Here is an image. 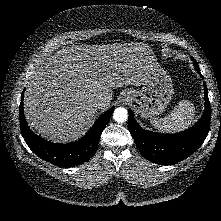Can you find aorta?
Returning a JSON list of instances; mask_svg holds the SVG:
<instances>
[{"label": "aorta", "mask_w": 221, "mask_h": 221, "mask_svg": "<svg viewBox=\"0 0 221 221\" xmlns=\"http://www.w3.org/2000/svg\"><path fill=\"white\" fill-rule=\"evenodd\" d=\"M113 118L118 123H123L128 118V112L125 108L119 107L114 110Z\"/></svg>", "instance_id": "obj_1"}]
</instances>
